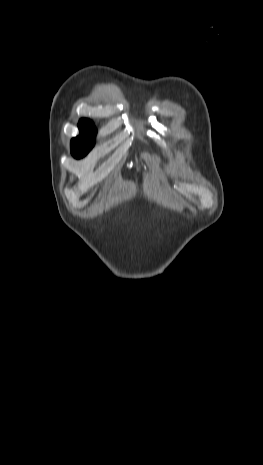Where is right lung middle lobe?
Segmentation results:
<instances>
[{"label": "right lung middle lobe", "instance_id": "right-lung-middle-lobe-1", "mask_svg": "<svg viewBox=\"0 0 263 465\" xmlns=\"http://www.w3.org/2000/svg\"><path fill=\"white\" fill-rule=\"evenodd\" d=\"M78 128L80 135L71 140V153L77 159L84 157L93 148L97 132L93 123L90 122L80 121Z\"/></svg>", "mask_w": 263, "mask_h": 465}]
</instances>
